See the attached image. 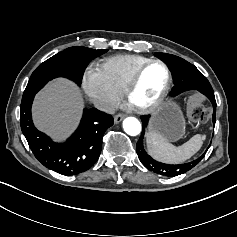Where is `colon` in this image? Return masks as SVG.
<instances>
[{
  "mask_svg": "<svg viewBox=\"0 0 237 237\" xmlns=\"http://www.w3.org/2000/svg\"><path fill=\"white\" fill-rule=\"evenodd\" d=\"M204 96L195 94L187 102V116L191 122L202 123L210 119L212 111L203 104Z\"/></svg>",
  "mask_w": 237,
  "mask_h": 237,
  "instance_id": "colon-1",
  "label": "colon"
}]
</instances>
